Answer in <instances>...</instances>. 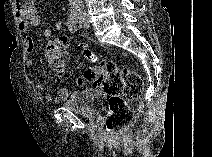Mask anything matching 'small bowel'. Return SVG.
Returning <instances> with one entry per match:
<instances>
[{
  "label": "small bowel",
  "mask_w": 212,
  "mask_h": 157,
  "mask_svg": "<svg viewBox=\"0 0 212 157\" xmlns=\"http://www.w3.org/2000/svg\"><path fill=\"white\" fill-rule=\"evenodd\" d=\"M15 17L17 21L18 29L27 33L30 28L38 27L41 23V17L36 10L33 1H19L15 5ZM55 30L59 31L63 28L62 21L55 22ZM45 37H50L52 35L51 29H45L43 32ZM35 49V41L34 38L30 35H26L25 37V50L28 55L32 54ZM34 64V60L31 57L26 59V65L32 66ZM33 87L37 90H43L45 88V84L42 81H37L32 83ZM68 96V92L65 88H60L56 94L51 92H47L45 94V99L50 102H58L60 100H64Z\"/></svg>",
  "instance_id": "obj_1"
}]
</instances>
